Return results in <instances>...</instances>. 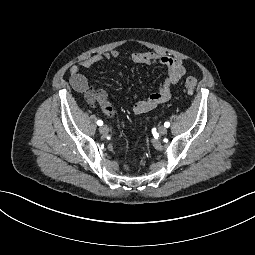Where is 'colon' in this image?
Listing matches in <instances>:
<instances>
[{
    "label": "colon",
    "mask_w": 255,
    "mask_h": 255,
    "mask_svg": "<svg viewBox=\"0 0 255 255\" xmlns=\"http://www.w3.org/2000/svg\"><path fill=\"white\" fill-rule=\"evenodd\" d=\"M196 86L197 79L193 76H189L184 83V88L188 93L193 92Z\"/></svg>",
    "instance_id": "1"
}]
</instances>
